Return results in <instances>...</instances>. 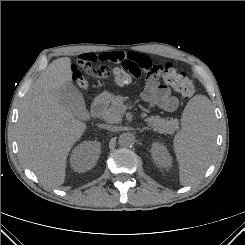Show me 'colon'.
I'll return each instance as SVG.
<instances>
[{
	"instance_id": "colon-1",
	"label": "colon",
	"mask_w": 245,
	"mask_h": 245,
	"mask_svg": "<svg viewBox=\"0 0 245 245\" xmlns=\"http://www.w3.org/2000/svg\"><path fill=\"white\" fill-rule=\"evenodd\" d=\"M78 65L88 74L96 78H110L115 85H126L132 77L140 74V69L132 59L122 60L118 66L109 67L100 61L94 53H83L78 57ZM150 80L164 83L174 88L184 97H191L194 94L195 86L193 81L184 73L177 71L172 63L163 62L152 65L147 71ZM73 79L82 88L87 87V81L82 74L74 69Z\"/></svg>"
}]
</instances>
